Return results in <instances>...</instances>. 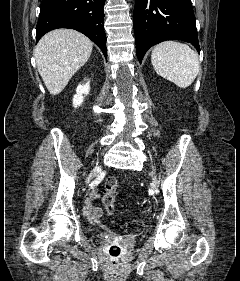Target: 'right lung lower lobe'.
<instances>
[{"mask_svg":"<svg viewBox=\"0 0 240 281\" xmlns=\"http://www.w3.org/2000/svg\"><path fill=\"white\" fill-rule=\"evenodd\" d=\"M104 4L105 0H42L36 42L50 30L75 29L90 38L107 57Z\"/></svg>","mask_w":240,"mask_h":281,"instance_id":"98d812e1","label":"right lung lower lobe"}]
</instances>
